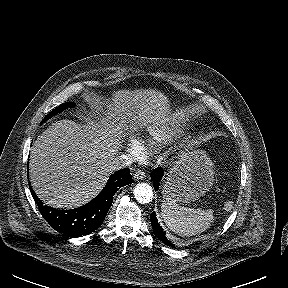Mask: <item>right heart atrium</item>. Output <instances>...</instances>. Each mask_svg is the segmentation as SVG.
Returning <instances> with one entry per match:
<instances>
[{"label": "right heart atrium", "mask_w": 288, "mask_h": 288, "mask_svg": "<svg viewBox=\"0 0 288 288\" xmlns=\"http://www.w3.org/2000/svg\"><path fill=\"white\" fill-rule=\"evenodd\" d=\"M127 151L134 157L139 158L143 148L138 139H131L127 144Z\"/></svg>", "instance_id": "obj_1"}]
</instances>
